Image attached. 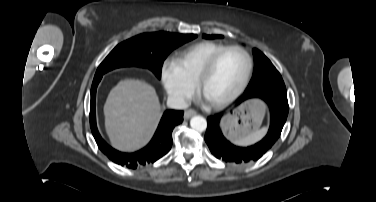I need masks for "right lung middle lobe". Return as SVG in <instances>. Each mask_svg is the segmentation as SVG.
Instances as JSON below:
<instances>
[{"mask_svg":"<svg viewBox=\"0 0 376 202\" xmlns=\"http://www.w3.org/2000/svg\"><path fill=\"white\" fill-rule=\"evenodd\" d=\"M195 34L169 32L144 33L117 45L98 67L94 80L104 73L124 66L150 69L159 79L163 61L180 45L196 38Z\"/></svg>","mask_w":376,"mask_h":202,"instance_id":"1","label":"right lung middle lobe"}]
</instances>
